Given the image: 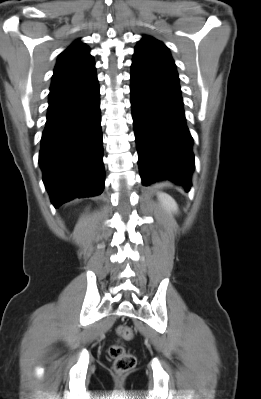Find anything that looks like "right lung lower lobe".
Segmentation results:
<instances>
[{
    "instance_id": "obj_1",
    "label": "right lung lower lobe",
    "mask_w": 261,
    "mask_h": 399,
    "mask_svg": "<svg viewBox=\"0 0 261 399\" xmlns=\"http://www.w3.org/2000/svg\"><path fill=\"white\" fill-rule=\"evenodd\" d=\"M39 164L52 203L104 190L100 94L96 72L50 89Z\"/></svg>"
}]
</instances>
